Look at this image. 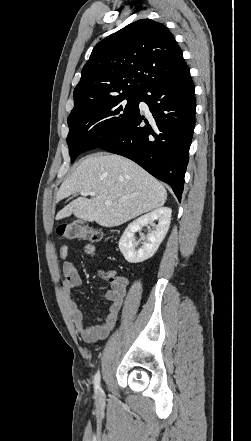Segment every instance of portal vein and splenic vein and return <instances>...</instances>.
I'll use <instances>...</instances> for the list:
<instances>
[{
    "label": "portal vein and splenic vein",
    "mask_w": 251,
    "mask_h": 441,
    "mask_svg": "<svg viewBox=\"0 0 251 441\" xmlns=\"http://www.w3.org/2000/svg\"><path fill=\"white\" fill-rule=\"evenodd\" d=\"M80 195H82V196H96V192H93V191H82V192H80ZM105 204L106 205H111L112 202L111 201H106Z\"/></svg>",
    "instance_id": "obj_1"
}]
</instances>
